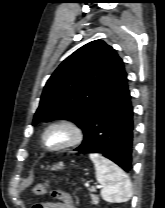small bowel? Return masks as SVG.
<instances>
[{
    "label": "small bowel",
    "instance_id": "obj_1",
    "mask_svg": "<svg viewBox=\"0 0 165 208\" xmlns=\"http://www.w3.org/2000/svg\"><path fill=\"white\" fill-rule=\"evenodd\" d=\"M55 195L61 200L59 202H47L40 204L42 208H75L70 196L62 191H58Z\"/></svg>",
    "mask_w": 165,
    "mask_h": 208
}]
</instances>
